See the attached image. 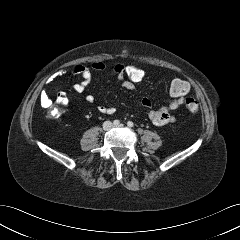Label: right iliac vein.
Masks as SVG:
<instances>
[{
  "label": "right iliac vein",
  "mask_w": 240,
  "mask_h": 240,
  "mask_svg": "<svg viewBox=\"0 0 240 240\" xmlns=\"http://www.w3.org/2000/svg\"><path fill=\"white\" fill-rule=\"evenodd\" d=\"M112 127H113V125L109 121H107L103 124V129L106 130V131L110 130Z\"/></svg>",
  "instance_id": "obj_1"
}]
</instances>
